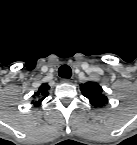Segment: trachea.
<instances>
[{
	"mask_svg": "<svg viewBox=\"0 0 137 145\" xmlns=\"http://www.w3.org/2000/svg\"><path fill=\"white\" fill-rule=\"evenodd\" d=\"M58 74L61 78H70L72 76V70L68 65H62L58 69Z\"/></svg>",
	"mask_w": 137,
	"mask_h": 145,
	"instance_id": "obj_1",
	"label": "trachea"
}]
</instances>
